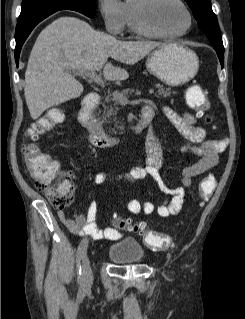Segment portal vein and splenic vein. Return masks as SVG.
Masks as SVG:
<instances>
[{"label": "portal vein and splenic vein", "mask_w": 245, "mask_h": 319, "mask_svg": "<svg viewBox=\"0 0 245 319\" xmlns=\"http://www.w3.org/2000/svg\"><path fill=\"white\" fill-rule=\"evenodd\" d=\"M73 73L75 75H81V76H86L89 79H91L92 81H94L95 83L104 86V81L102 79V77L100 75H98L96 73L95 70L90 69V70H85V71H77V70H73ZM149 94H153L154 90L153 89H149ZM112 96L114 97V99L120 103L122 106H125L127 104L130 105H134L137 104L139 102L144 101L143 99H136V100H132L130 101L126 96H124L123 94H121L118 90L113 91Z\"/></svg>", "instance_id": "obj_1"}]
</instances>
